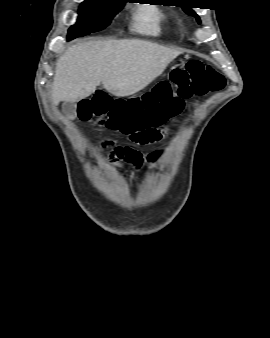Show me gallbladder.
Returning a JSON list of instances; mask_svg holds the SVG:
<instances>
[{
	"mask_svg": "<svg viewBox=\"0 0 270 338\" xmlns=\"http://www.w3.org/2000/svg\"><path fill=\"white\" fill-rule=\"evenodd\" d=\"M63 110L68 116L75 117L76 103L64 101Z\"/></svg>",
	"mask_w": 270,
	"mask_h": 338,
	"instance_id": "gallbladder-1",
	"label": "gallbladder"
}]
</instances>
